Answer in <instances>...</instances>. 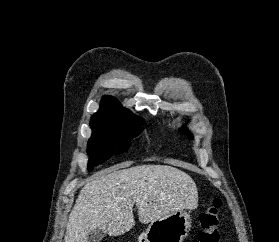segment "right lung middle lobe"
Returning <instances> with one entry per match:
<instances>
[{"label":"right lung middle lobe","mask_w":279,"mask_h":242,"mask_svg":"<svg viewBox=\"0 0 279 242\" xmlns=\"http://www.w3.org/2000/svg\"><path fill=\"white\" fill-rule=\"evenodd\" d=\"M143 123L138 125H116L109 122L91 123L92 136L87 144L88 170L108 160L114 154L128 150L130 139L138 136Z\"/></svg>","instance_id":"1"}]
</instances>
